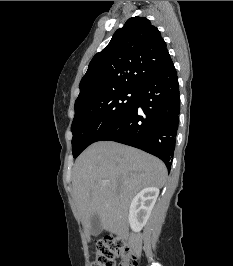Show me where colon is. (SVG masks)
Wrapping results in <instances>:
<instances>
[{
  "label": "colon",
  "instance_id": "1",
  "mask_svg": "<svg viewBox=\"0 0 233 266\" xmlns=\"http://www.w3.org/2000/svg\"><path fill=\"white\" fill-rule=\"evenodd\" d=\"M96 261L92 266H115L116 258H120L119 266H138L139 255L133 247L120 237H106L95 244Z\"/></svg>",
  "mask_w": 233,
  "mask_h": 266
}]
</instances>
